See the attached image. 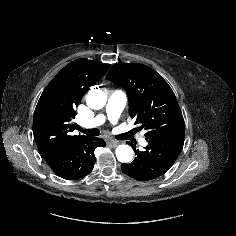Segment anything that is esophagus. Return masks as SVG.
<instances>
[{"label": "esophagus", "instance_id": "1", "mask_svg": "<svg viewBox=\"0 0 236 236\" xmlns=\"http://www.w3.org/2000/svg\"><path fill=\"white\" fill-rule=\"evenodd\" d=\"M108 143L111 144V145H113V146H117V145L119 144V141L110 139V140L108 141Z\"/></svg>", "mask_w": 236, "mask_h": 236}]
</instances>
